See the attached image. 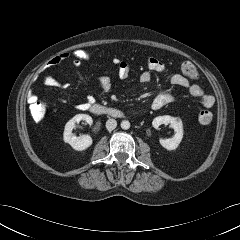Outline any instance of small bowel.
Listing matches in <instances>:
<instances>
[{
	"instance_id": "obj_1",
	"label": "small bowel",
	"mask_w": 240,
	"mask_h": 240,
	"mask_svg": "<svg viewBox=\"0 0 240 240\" xmlns=\"http://www.w3.org/2000/svg\"><path fill=\"white\" fill-rule=\"evenodd\" d=\"M68 60L66 53H61L49 60L48 66H55L63 61ZM114 65L117 67V77L120 80H125L129 77L130 66L127 62L122 60H114ZM166 71L165 65L154 57H149L147 60V70L143 71L139 80L142 83L151 81L152 73H164ZM41 80L44 84L60 89H66L69 86L68 82L60 81L51 75H43ZM172 85L182 88H187L190 95L199 98L202 105L206 108H211L215 103V98L204 92L203 88L197 84L192 83L188 77L182 74H173L170 77ZM99 83L103 93H108L112 89V80L108 75H102L99 78ZM175 99L174 94L170 90H163L159 92L152 101V109L159 110ZM28 102L37 101V95L34 90H30L27 94ZM94 98L89 96L86 101L78 103L76 108L78 110H87L94 103Z\"/></svg>"
}]
</instances>
